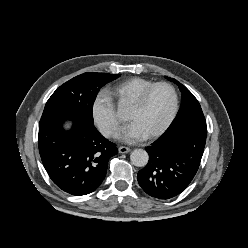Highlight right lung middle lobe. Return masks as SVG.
<instances>
[{"label":"right lung middle lobe","mask_w":248,"mask_h":248,"mask_svg":"<svg viewBox=\"0 0 248 248\" xmlns=\"http://www.w3.org/2000/svg\"><path fill=\"white\" fill-rule=\"evenodd\" d=\"M120 74L83 73L61 85L48 99L39 129L66 118L93 122V103L100 88Z\"/></svg>","instance_id":"dd1d6c3e"}]
</instances>
